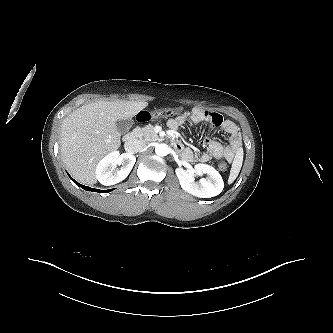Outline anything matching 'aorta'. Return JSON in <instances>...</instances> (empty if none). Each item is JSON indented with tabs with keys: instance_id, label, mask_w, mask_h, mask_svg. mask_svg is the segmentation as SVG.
Listing matches in <instances>:
<instances>
[{
	"instance_id": "1",
	"label": "aorta",
	"mask_w": 333,
	"mask_h": 333,
	"mask_svg": "<svg viewBox=\"0 0 333 333\" xmlns=\"http://www.w3.org/2000/svg\"><path fill=\"white\" fill-rule=\"evenodd\" d=\"M155 152L158 156H166L169 153V147L166 144H158L155 147Z\"/></svg>"
}]
</instances>
